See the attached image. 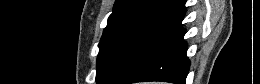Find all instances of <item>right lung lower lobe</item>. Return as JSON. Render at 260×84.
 I'll return each mask as SVG.
<instances>
[{"label":"right lung lower lobe","instance_id":"98d812e1","mask_svg":"<svg viewBox=\"0 0 260 84\" xmlns=\"http://www.w3.org/2000/svg\"><path fill=\"white\" fill-rule=\"evenodd\" d=\"M185 29L179 28L174 37L132 79V82L164 81L185 84L190 62L186 56Z\"/></svg>","mask_w":260,"mask_h":84}]
</instances>
